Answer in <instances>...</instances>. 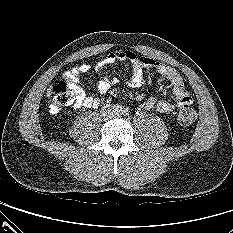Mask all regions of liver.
<instances>
[{
	"label": "liver",
	"instance_id": "liver-1",
	"mask_svg": "<svg viewBox=\"0 0 233 233\" xmlns=\"http://www.w3.org/2000/svg\"><path fill=\"white\" fill-rule=\"evenodd\" d=\"M51 93H52V89H51V87H49L47 89V97H50Z\"/></svg>",
	"mask_w": 233,
	"mask_h": 233
}]
</instances>
